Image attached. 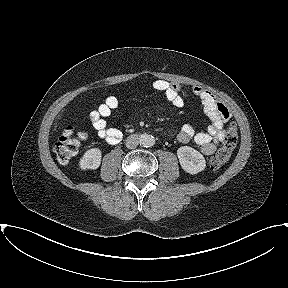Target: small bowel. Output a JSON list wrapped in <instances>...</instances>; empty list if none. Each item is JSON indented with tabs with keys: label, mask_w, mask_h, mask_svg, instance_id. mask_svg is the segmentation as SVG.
<instances>
[{
	"label": "small bowel",
	"mask_w": 288,
	"mask_h": 288,
	"mask_svg": "<svg viewBox=\"0 0 288 288\" xmlns=\"http://www.w3.org/2000/svg\"><path fill=\"white\" fill-rule=\"evenodd\" d=\"M153 88L163 93L173 106L177 108L184 106L185 100L181 86L178 83L158 79L154 81ZM192 92L200 99L211 124L206 131H196L193 126L184 125L179 131L177 139L183 144L193 141L202 154L211 155L216 150L218 143L223 140L225 124L229 119V110L223 103L217 101L213 94L199 86L192 87ZM119 107L118 98L109 96L90 114L91 124L98 137L110 145L117 144L123 136L119 129L108 127L106 122V118L110 116L112 111Z\"/></svg>",
	"instance_id": "small-bowel-1"
}]
</instances>
